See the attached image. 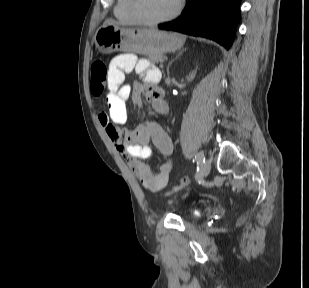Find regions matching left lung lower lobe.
<instances>
[{"instance_id": "1", "label": "left lung lower lobe", "mask_w": 309, "mask_h": 288, "mask_svg": "<svg viewBox=\"0 0 309 288\" xmlns=\"http://www.w3.org/2000/svg\"><path fill=\"white\" fill-rule=\"evenodd\" d=\"M239 4L240 0H187L179 18L158 27L206 37L229 49L240 18Z\"/></svg>"}]
</instances>
